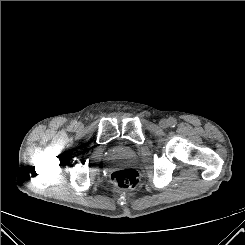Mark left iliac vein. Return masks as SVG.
I'll return each mask as SVG.
<instances>
[{
  "mask_svg": "<svg viewBox=\"0 0 245 245\" xmlns=\"http://www.w3.org/2000/svg\"><path fill=\"white\" fill-rule=\"evenodd\" d=\"M159 125L162 128H167L168 127V121L166 119H161L160 122H159Z\"/></svg>",
  "mask_w": 245,
  "mask_h": 245,
  "instance_id": "obj_1",
  "label": "left iliac vein"
}]
</instances>
